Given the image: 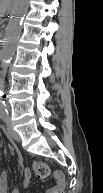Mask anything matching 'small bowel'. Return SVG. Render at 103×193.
Masks as SVG:
<instances>
[{
	"label": "small bowel",
	"instance_id": "c3829d8e",
	"mask_svg": "<svg viewBox=\"0 0 103 193\" xmlns=\"http://www.w3.org/2000/svg\"><path fill=\"white\" fill-rule=\"evenodd\" d=\"M9 178L10 174L7 171H3L0 175L1 180V193H8L9 189ZM30 178V171L28 169L24 170V184L27 185ZM55 183L52 187L47 189L45 193H63L64 182L62 178L55 177ZM11 193H20L17 188L12 189Z\"/></svg>",
	"mask_w": 103,
	"mask_h": 193
}]
</instances>
